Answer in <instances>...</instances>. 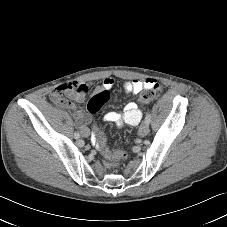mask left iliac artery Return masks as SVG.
<instances>
[{
	"instance_id": "left-iliac-artery-1",
	"label": "left iliac artery",
	"mask_w": 227,
	"mask_h": 227,
	"mask_svg": "<svg viewBox=\"0 0 227 227\" xmlns=\"http://www.w3.org/2000/svg\"><path fill=\"white\" fill-rule=\"evenodd\" d=\"M150 121H151V115H150V113H147L146 117H145V122L149 124Z\"/></svg>"
}]
</instances>
